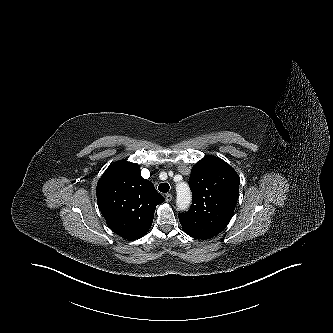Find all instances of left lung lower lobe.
<instances>
[{"label": "left lung lower lobe", "instance_id": "obj_1", "mask_svg": "<svg viewBox=\"0 0 333 333\" xmlns=\"http://www.w3.org/2000/svg\"><path fill=\"white\" fill-rule=\"evenodd\" d=\"M186 234H188V233H186ZM188 235L191 236V237H194V238L200 239V238H198V237H196V236H193V235H190V234H188Z\"/></svg>", "mask_w": 333, "mask_h": 333}]
</instances>
